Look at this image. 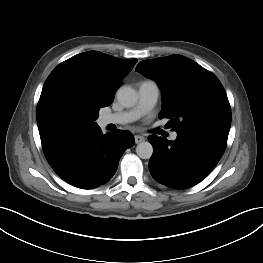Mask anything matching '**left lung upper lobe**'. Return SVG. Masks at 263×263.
Instances as JSON below:
<instances>
[{"instance_id": "1", "label": "left lung upper lobe", "mask_w": 263, "mask_h": 263, "mask_svg": "<svg viewBox=\"0 0 263 263\" xmlns=\"http://www.w3.org/2000/svg\"><path fill=\"white\" fill-rule=\"evenodd\" d=\"M136 71L154 79L162 90L159 118L174 131H229L231 108L217 77L193 60L181 56L144 60Z\"/></svg>"}]
</instances>
